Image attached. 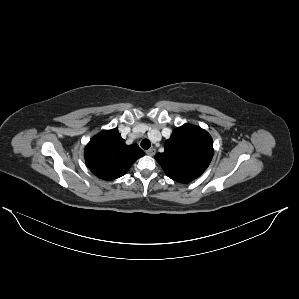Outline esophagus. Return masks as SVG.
I'll return each instance as SVG.
<instances>
[{
	"label": "esophagus",
	"mask_w": 299,
	"mask_h": 299,
	"mask_svg": "<svg viewBox=\"0 0 299 299\" xmlns=\"http://www.w3.org/2000/svg\"><path fill=\"white\" fill-rule=\"evenodd\" d=\"M156 153V150L154 148H150L146 151V154L149 156H153Z\"/></svg>",
	"instance_id": "34e87169"
}]
</instances>
